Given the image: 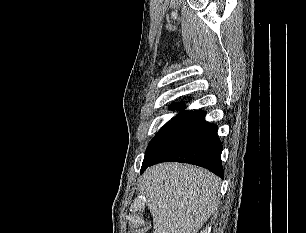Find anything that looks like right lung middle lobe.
I'll list each match as a JSON object with an SVG mask.
<instances>
[{"label":"right lung middle lobe","instance_id":"1","mask_svg":"<svg viewBox=\"0 0 306 233\" xmlns=\"http://www.w3.org/2000/svg\"><path fill=\"white\" fill-rule=\"evenodd\" d=\"M185 108L184 104L177 103L170 106L171 110H180ZM202 110L181 112L177 117L168 122L150 141L144 163L149 162L156 157L167 145H169L179 134L186 129L194 120H196L201 114Z\"/></svg>","mask_w":306,"mask_h":233}]
</instances>
